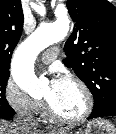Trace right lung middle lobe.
Masks as SVG:
<instances>
[{"instance_id":"obj_1","label":"right lung middle lobe","mask_w":116,"mask_h":134,"mask_svg":"<svg viewBox=\"0 0 116 134\" xmlns=\"http://www.w3.org/2000/svg\"><path fill=\"white\" fill-rule=\"evenodd\" d=\"M9 79V71L0 72V116L13 111L5 97L6 84Z\"/></svg>"}]
</instances>
